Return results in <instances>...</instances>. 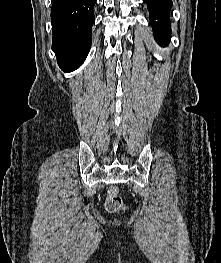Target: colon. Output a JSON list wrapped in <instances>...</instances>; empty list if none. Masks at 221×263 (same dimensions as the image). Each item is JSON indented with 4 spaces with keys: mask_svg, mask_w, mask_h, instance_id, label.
Here are the masks:
<instances>
[{
    "mask_svg": "<svg viewBox=\"0 0 221 263\" xmlns=\"http://www.w3.org/2000/svg\"><path fill=\"white\" fill-rule=\"evenodd\" d=\"M105 208L110 213H117L124 210L123 201L117 187L109 188L105 200Z\"/></svg>",
    "mask_w": 221,
    "mask_h": 263,
    "instance_id": "5ec220e1",
    "label": "colon"
}]
</instances>
